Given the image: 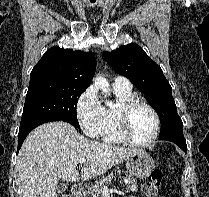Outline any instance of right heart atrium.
Listing matches in <instances>:
<instances>
[{
	"mask_svg": "<svg viewBox=\"0 0 209 197\" xmlns=\"http://www.w3.org/2000/svg\"><path fill=\"white\" fill-rule=\"evenodd\" d=\"M76 114L81 128L88 136H99L105 116V107L94 87H88L78 97Z\"/></svg>",
	"mask_w": 209,
	"mask_h": 197,
	"instance_id": "d8ad5b80",
	"label": "right heart atrium"
}]
</instances>
